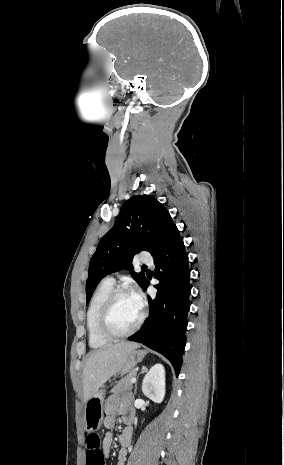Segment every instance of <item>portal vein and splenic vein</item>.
Wrapping results in <instances>:
<instances>
[{
  "label": "portal vein and splenic vein",
  "instance_id": "obj_1",
  "mask_svg": "<svg viewBox=\"0 0 284 465\" xmlns=\"http://www.w3.org/2000/svg\"><path fill=\"white\" fill-rule=\"evenodd\" d=\"M136 379L135 377H133V379H131V383H135Z\"/></svg>",
  "mask_w": 284,
  "mask_h": 465
}]
</instances>
